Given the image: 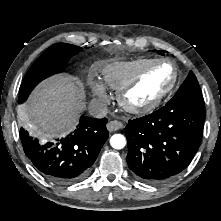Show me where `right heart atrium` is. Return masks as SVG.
I'll use <instances>...</instances> for the list:
<instances>
[{"mask_svg":"<svg viewBox=\"0 0 221 221\" xmlns=\"http://www.w3.org/2000/svg\"><path fill=\"white\" fill-rule=\"evenodd\" d=\"M88 87L92 93V96L101 102L108 100L109 94L107 87L100 81L97 80H88Z\"/></svg>","mask_w":221,"mask_h":221,"instance_id":"d8ad5b80","label":"right heart atrium"}]
</instances>
